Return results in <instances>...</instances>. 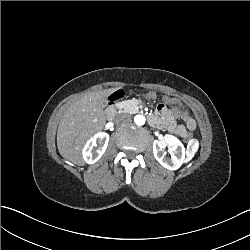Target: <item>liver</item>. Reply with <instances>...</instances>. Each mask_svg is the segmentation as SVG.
Masks as SVG:
<instances>
[{
    "mask_svg": "<svg viewBox=\"0 0 250 250\" xmlns=\"http://www.w3.org/2000/svg\"><path fill=\"white\" fill-rule=\"evenodd\" d=\"M114 91L116 88L84 94L67 109L57 130V146L63 158L85 165L81 148L91 135L103 129L105 100Z\"/></svg>",
    "mask_w": 250,
    "mask_h": 250,
    "instance_id": "1",
    "label": "liver"
}]
</instances>
